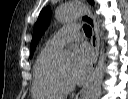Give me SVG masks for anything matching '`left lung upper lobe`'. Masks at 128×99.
Listing matches in <instances>:
<instances>
[{
  "label": "left lung upper lobe",
  "instance_id": "left-lung-upper-lobe-1",
  "mask_svg": "<svg viewBox=\"0 0 128 99\" xmlns=\"http://www.w3.org/2000/svg\"><path fill=\"white\" fill-rule=\"evenodd\" d=\"M88 1L91 4H94L93 0H88ZM50 17H51V9L50 7H46L41 11L38 17V20L34 25L33 38H32L31 45H30V58L32 57L34 53L35 47L37 43L39 42L42 34L44 33V31L49 25Z\"/></svg>",
  "mask_w": 128,
  "mask_h": 99
}]
</instances>
